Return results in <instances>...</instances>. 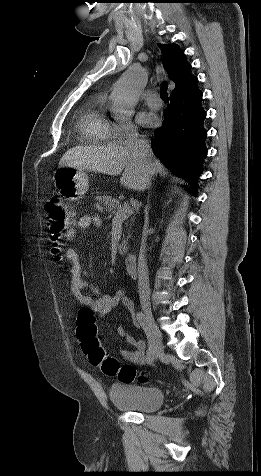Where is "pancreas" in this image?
Returning <instances> with one entry per match:
<instances>
[{
	"instance_id": "cf45deb5",
	"label": "pancreas",
	"mask_w": 261,
	"mask_h": 476,
	"mask_svg": "<svg viewBox=\"0 0 261 476\" xmlns=\"http://www.w3.org/2000/svg\"><path fill=\"white\" fill-rule=\"evenodd\" d=\"M98 200L100 201V204L103 206L104 210L111 215H115L118 210L122 209V204L120 203V201L116 198H112L111 196H101L98 197ZM118 249L119 252L122 254L127 253L128 247L127 240L125 238H123V241L119 245Z\"/></svg>"
}]
</instances>
